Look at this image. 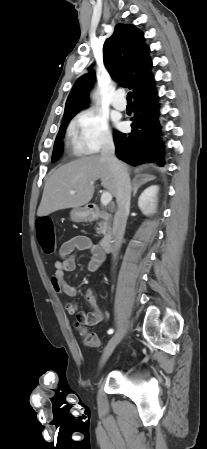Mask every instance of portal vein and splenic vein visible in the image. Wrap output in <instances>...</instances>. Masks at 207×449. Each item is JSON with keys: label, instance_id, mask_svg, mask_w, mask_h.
Listing matches in <instances>:
<instances>
[{"label": "portal vein and splenic vein", "instance_id": "1", "mask_svg": "<svg viewBox=\"0 0 207 449\" xmlns=\"http://www.w3.org/2000/svg\"><path fill=\"white\" fill-rule=\"evenodd\" d=\"M71 194H75V191H71ZM112 201V195L108 191H104L101 195V204L106 206Z\"/></svg>", "mask_w": 207, "mask_h": 449}]
</instances>
